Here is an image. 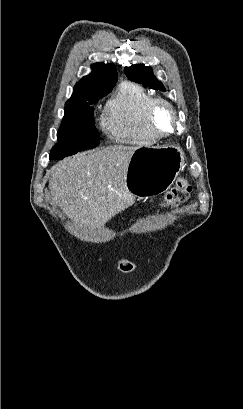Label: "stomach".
Listing matches in <instances>:
<instances>
[{"mask_svg":"<svg viewBox=\"0 0 243 409\" xmlns=\"http://www.w3.org/2000/svg\"><path fill=\"white\" fill-rule=\"evenodd\" d=\"M183 163L184 153L178 146L138 148L128 165L126 190L139 197L165 192L178 176Z\"/></svg>","mask_w":243,"mask_h":409,"instance_id":"obj_1","label":"stomach"}]
</instances>
